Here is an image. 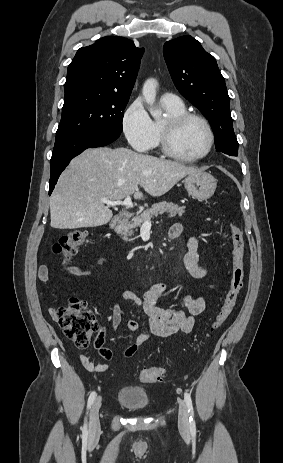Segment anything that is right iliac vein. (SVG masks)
I'll return each instance as SVG.
<instances>
[{
    "label": "right iliac vein",
    "mask_w": 283,
    "mask_h": 463,
    "mask_svg": "<svg viewBox=\"0 0 283 463\" xmlns=\"http://www.w3.org/2000/svg\"><path fill=\"white\" fill-rule=\"evenodd\" d=\"M101 397H97L94 401L89 418V429L88 434L90 439H96L100 434V421H99V409L101 407Z\"/></svg>",
    "instance_id": "right-iliac-vein-1"
}]
</instances>
